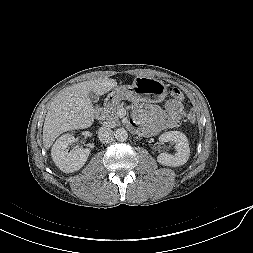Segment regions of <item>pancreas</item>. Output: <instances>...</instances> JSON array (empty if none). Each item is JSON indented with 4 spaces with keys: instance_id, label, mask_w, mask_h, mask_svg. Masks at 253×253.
I'll use <instances>...</instances> for the list:
<instances>
[{
    "instance_id": "cf45deb5",
    "label": "pancreas",
    "mask_w": 253,
    "mask_h": 253,
    "mask_svg": "<svg viewBox=\"0 0 253 253\" xmlns=\"http://www.w3.org/2000/svg\"><path fill=\"white\" fill-rule=\"evenodd\" d=\"M124 102H117L113 105L103 108L100 112V120L104 121V125L115 127L120 125L119 115L117 114L120 108H123Z\"/></svg>"
}]
</instances>
